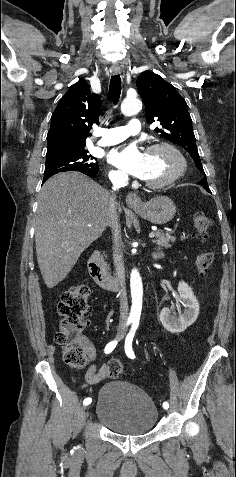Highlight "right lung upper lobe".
I'll return each mask as SVG.
<instances>
[{
    "label": "right lung upper lobe",
    "mask_w": 236,
    "mask_h": 477,
    "mask_svg": "<svg viewBox=\"0 0 236 477\" xmlns=\"http://www.w3.org/2000/svg\"><path fill=\"white\" fill-rule=\"evenodd\" d=\"M100 110L101 99L90 92L85 80L73 84L59 101L51 117L46 161L84 149L92 125L99 122Z\"/></svg>",
    "instance_id": "cb5924a9"
}]
</instances>
